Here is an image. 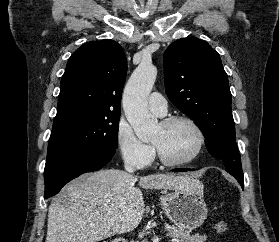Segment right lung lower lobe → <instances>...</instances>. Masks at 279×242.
I'll return each instance as SVG.
<instances>
[{"mask_svg":"<svg viewBox=\"0 0 279 242\" xmlns=\"http://www.w3.org/2000/svg\"><path fill=\"white\" fill-rule=\"evenodd\" d=\"M114 156L112 152L91 151L73 155L45 168V196L49 198L72 179L85 172L100 170Z\"/></svg>","mask_w":279,"mask_h":242,"instance_id":"98d812e1","label":"right lung lower lobe"}]
</instances>
